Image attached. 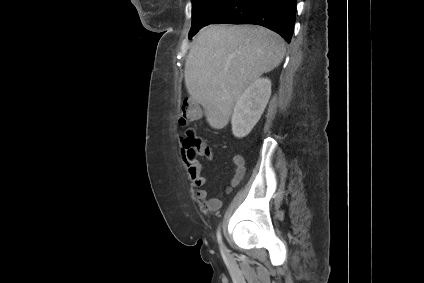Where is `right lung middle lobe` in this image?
<instances>
[{"label":"right lung middle lobe","mask_w":424,"mask_h":283,"mask_svg":"<svg viewBox=\"0 0 424 283\" xmlns=\"http://www.w3.org/2000/svg\"><path fill=\"white\" fill-rule=\"evenodd\" d=\"M228 0H192V26L189 35L196 34L200 28L222 7Z\"/></svg>","instance_id":"1"}]
</instances>
